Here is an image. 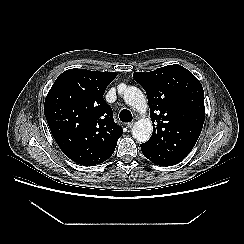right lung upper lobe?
Here are the masks:
<instances>
[{
    "instance_id": "right-lung-upper-lobe-1",
    "label": "right lung upper lobe",
    "mask_w": 244,
    "mask_h": 244,
    "mask_svg": "<svg viewBox=\"0 0 244 244\" xmlns=\"http://www.w3.org/2000/svg\"><path fill=\"white\" fill-rule=\"evenodd\" d=\"M116 75L69 69L59 75L47 94L44 113L51 133L64 154L80 165L107 160L123 133L103 98Z\"/></svg>"
}]
</instances>
